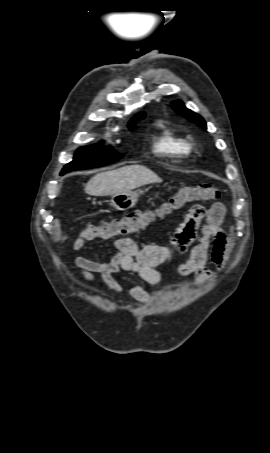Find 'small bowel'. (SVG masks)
Segmentation results:
<instances>
[{"label": "small bowel", "instance_id": "small-bowel-1", "mask_svg": "<svg viewBox=\"0 0 270 453\" xmlns=\"http://www.w3.org/2000/svg\"><path fill=\"white\" fill-rule=\"evenodd\" d=\"M225 214L226 209L221 202L212 204L208 209L194 205L177 227L168 246L139 245L131 238H118L114 241L113 255L109 260L95 261L76 257L74 263L85 282L93 283L94 274L98 273L103 283L115 293L122 292L114 277L116 274L121 275L131 286L128 294L144 302L149 295L138 279L151 286L159 284L162 275L156 267L189 251V258L178 265L177 272L182 277L195 275L197 285L200 286L215 277L216 273L206 267L209 259L219 270L223 267L227 245V237L222 228ZM98 239L101 237H87L81 233L71 242V248L79 250L95 244Z\"/></svg>", "mask_w": 270, "mask_h": 453}]
</instances>
